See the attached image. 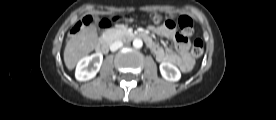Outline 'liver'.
Segmentation results:
<instances>
[{"label": "liver", "mask_w": 276, "mask_h": 120, "mask_svg": "<svg viewBox=\"0 0 276 120\" xmlns=\"http://www.w3.org/2000/svg\"><path fill=\"white\" fill-rule=\"evenodd\" d=\"M97 32L94 26L83 27L77 34L71 35L64 50V62L69 70L88 53L97 43Z\"/></svg>", "instance_id": "liver-1"}]
</instances>
